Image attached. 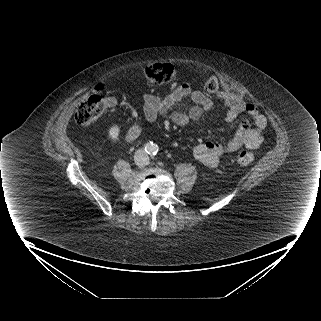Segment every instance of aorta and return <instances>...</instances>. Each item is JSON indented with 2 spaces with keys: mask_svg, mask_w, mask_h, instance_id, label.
<instances>
[{
  "mask_svg": "<svg viewBox=\"0 0 321 321\" xmlns=\"http://www.w3.org/2000/svg\"><path fill=\"white\" fill-rule=\"evenodd\" d=\"M158 150H159V147H158V145L155 144V143H149V144L147 145V152H148L149 154H156V153L158 152Z\"/></svg>",
  "mask_w": 321,
  "mask_h": 321,
  "instance_id": "1",
  "label": "aorta"
}]
</instances>
